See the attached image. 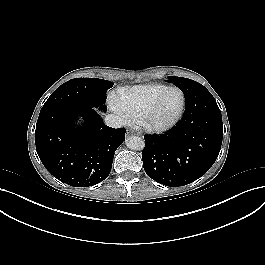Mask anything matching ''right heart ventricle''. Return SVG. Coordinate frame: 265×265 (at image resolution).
<instances>
[{
    "label": "right heart ventricle",
    "mask_w": 265,
    "mask_h": 265,
    "mask_svg": "<svg viewBox=\"0 0 265 265\" xmlns=\"http://www.w3.org/2000/svg\"><path fill=\"white\" fill-rule=\"evenodd\" d=\"M167 87L154 83L121 88L116 94L118 104L130 119L140 122L154 99Z\"/></svg>",
    "instance_id": "e07e8e85"
}]
</instances>
